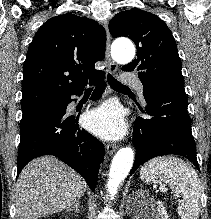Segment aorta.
<instances>
[{
    "instance_id": "obj_1",
    "label": "aorta",
    "mask_w": 211,
    "mask_h": 219,
    "mask_svg": "<svg viewBox=\"0 0 211 219\" xmlns=\"http://www.w3.org/2000/svg\"><path fill=\"white\" fill-rule=\"evenodd\" d=\"M135 56V47L129 40L118 42L112 49L113 59L120 64H127ZM134 161V151L130 147L121 148L114 156L107 182V190L114 196L119 185L130 172Z\"/></svg>"
}]
</instances>
